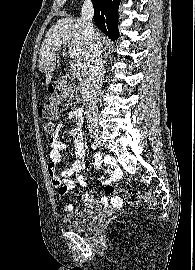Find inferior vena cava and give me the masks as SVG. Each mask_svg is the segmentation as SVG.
I'll use <instances>...</instances> for the list:
<instances>
[{"label": "inferior vena cava", "mask_w": 195, "mask_h": 270, "mask_svg": "<svg viewBox=\"0 0 195 270\" xmlns=\"http://www.w3.org/2000/svg\"><path fill=\"white\" fill-rule=\"evenodd\" d=\"M93 4L91 0H85L82 5L81 19L84 22L85 31L87 34V49L85 53L86 63L89 71L90 85V99L89 108L87 110V118L90 123L89 128L97 129L95 124V116L97 115V97L101 91L103 78H104V66L101 57L102 43L98 32L93 26Z\"/></svg>", "instance_id": "inferior-vena-cava-1"}]
</instances>
